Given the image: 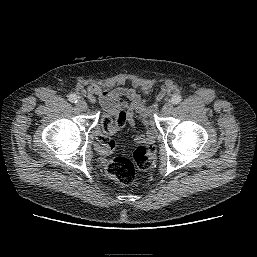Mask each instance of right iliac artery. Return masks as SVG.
<instances>
[{
	"instance_id": "1",
	"label": "right iliac artery",
	"mask_w": 257,
	"mask_h": 257,
	"mask_svg": "<svg viewBox=\"0 0 257 257\" xmlns=\"http://www.w3.org/2000/svg\"><path fill=\"white\" fill-rule=\"evenodd\" d=\"M69 101L72 103H76L78 101V97L76 96V94H70Z\"/></svg>"
}]
</instances>
